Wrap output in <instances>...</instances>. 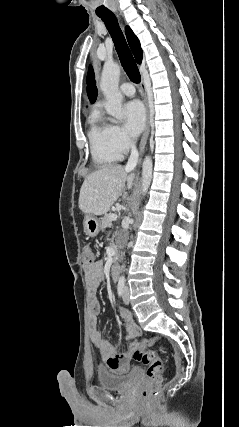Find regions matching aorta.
Segmentation results:
<instances>
[{
    "label": "aorta",
    "mask_w": 239,
    "mask_h": 427,
    "mask_svg": "<svg viewBox=\"0 0 239 427\" xmlns=\"http://www.w3.org/2000/svg\"><path fill=\"white\" fill-rule=\"evenodd\" d=\"M120 66L116 63H105L101 75L100 88L107 100L105 109L115 120H122V94L118 89ZM152 159L146 156L142 165V195L145 196L152 180Z\"/></svg>",
    "instance_id": "1"
}]
</instances>
